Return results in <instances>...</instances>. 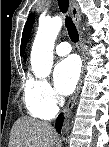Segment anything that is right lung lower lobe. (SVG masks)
Wrapping results in <instances>:
<instances>
[{
	"mask_svg": "<svg viewBox=\"0 0 109 147\" xmlns=\"http://www.w3.org/2000/svg\"><path fill=\"white\" fill-rule=\"evenodd\" d=\"M62 123H63V119L61 116L58 117L57 121H56V130L60 133L61 131V127H62Z\"/></svg>",
	"mask_w": 109,
	"mask_h": 147,
	"instance_id": "obj_1",
	"label": "right lung lower lobe"
}]
</instances>
